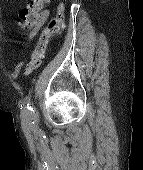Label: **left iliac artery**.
Listing matches in <instances>:
<instances>
[{
	"mask_svg": "<svg viewBox=\"0 0 143 170\" xmlns=\"http://www.w3.org/2000/svg\"><path fill=\"white\" fill-rule=\"evenodd\" d=\"M29 102L27 103V112L26 116L29 122V127L34 131V132H40V129L38 127V116L33 107L29 106Z\"/></svg>",
	"mask_w": 143,
	"mask_h": 170,
	"instance_id": "left-iliac-artery-1",
	"label": "left iliac artery"
}]
</instances>
